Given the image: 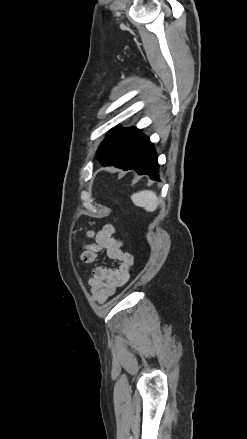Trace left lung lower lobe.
I'll use <instances>...</instances> for the list:
<instances>
[{
    "instance_id": "1",
    "label": "left lung lower lobe",
    "mask_w": 247,
    "mask_h": 439,
    "mask_svg": "<svg viewBox=\"0 0 247 439\" xmlns=\"http://www.w3.org/2000/svg\"><path fill=\"white\" fill-rule=\"evenodd\" d=\"M157 155L149 138L141 132L136 138L128 157L122 167L123 170H136L138 174H147L153 180L158 178Z\"/></svg>"
}]
</instances>
